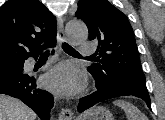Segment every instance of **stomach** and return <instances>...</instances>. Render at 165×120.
<instances>
[{
  "instance_id": "stomach-1",
  "label": "stomach",
  "mask_w": 165,
  "mask_h": 120,
  "mask_svg": "<svg viewBox=\"0 0 165 120\" xmlns=\"http://www.w3.org/2000/svg\"><path fill=\"white\" fill-rule=\"evenodd\" d=\"M80 120H113V116L105 107L95 106L87 110Z\"/></svg>"
}]
</instances>
